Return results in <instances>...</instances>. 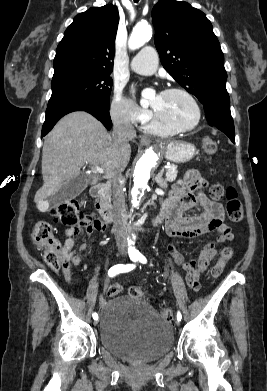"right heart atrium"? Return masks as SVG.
I'll use <instances>...</instances> for the list:
<instances>
[{
    "mask_svg": "<svg viewBox=\"0 0 267 391\" xmlns=\"http://www.w3.org/2000/svg\"><path fill=\"white\" fill-rule=\"evenodd\" d=\"M112 120L121 125H143L150 119V113L138 108L131 100L119 92L114 94L110 106Z\"/></svg>",
    "mask_w": 267,
    "mask_h": 391,
    "instance_id": "right-heart-atrium-1",
    "label": "right heart atrium"
}]
</instances>
